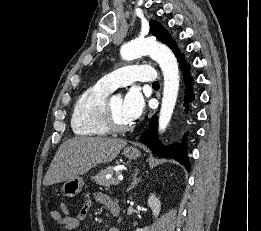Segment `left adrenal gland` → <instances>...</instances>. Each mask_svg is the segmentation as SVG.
<instances>
[{
  "instance_id": "1",
  "label": "left adrenal gland",
  "mask_w": 261,
  "mask_h": 231,
  "mask_svg": "<svg viewBox=\"0 0 261 231\" xmlns=\"http://www.w3.org/2000/svg\"><path fill=\"white\" fill-rule=\"evenodd\" d=\"M137 175H138V170H136V172L134 173L133 178H132V182H131L129 188L127 189V192L132 190L138 184V182H140L141 178L140 177L137 178Z\"/></svg>"
}]
</instances>
